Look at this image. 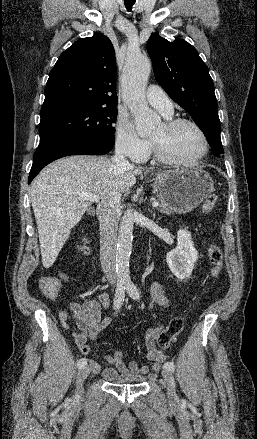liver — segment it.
Returning a JSON list of instances; mask_svg holds the SVG:
<instances>
[{
    "label": "liver",
    "mask_w": 257,
    "mask_h": 439,
    "mask_svg": "<svg viewBox=\"0 0 257 439\" xmlns=\"http://www.w3.org/2000/svg\"><path fill=\"white\" fill-rule=\"evenodd\" d=\"M141 174V169H124L103 156L75 155L48 165L34 179L30 192L43 266L53 265L71 229L90 207L91 202L79 200V194H94L101 200L113 191L121 195Z\"/></svg>",
    "instance_id": "6515ba94"
}]
</instances>
